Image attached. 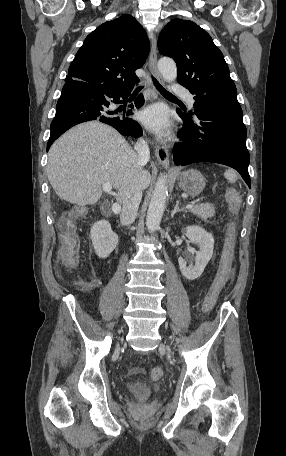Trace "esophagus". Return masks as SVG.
Returning <instances> with one entry per match:
<instances>
[{
  "label": "esophagus",
  "instance_id": "34e87169",
  "mask_svg": "<svg viewBox=\"0 0 286 456\" xmlns=\"http://www.w3.org/2000/svg\"><path fill=\"white\" fill-rule=\"evenodd\" d=\"M149 67L152 75L158 80L162 81V77L158 71L157 67V46L156 39L154 38L151 45V51L149 55ZM157 160L162 164L166 169L173 171L174 169L170 167L169 153L167 149L160 145H155L154 149Z\"/></svg>",
  "mask_w": 286,
  "mask_h": 456
}]
</instances>
